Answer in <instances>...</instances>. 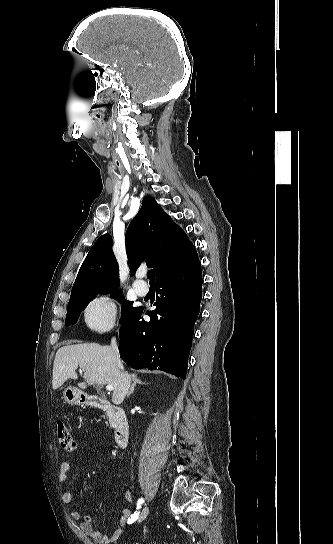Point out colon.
<instances>
[{
    "label": "colon",
    "mask_w": 333,
    "mask_h": 544,
    "mask_svg": "<svg viewBox=\"0 0 333 544\" xmlns=\"http://www.w3.org/2000/svg\"><path fill=\"white\" fill-rule=\"evenodd\" d=\"M57 436L60 446L68 451L76 448V442L66 424L62 421L57 422Z\"/></svg>",
    "instance_id": "obj_1"
}]
</instances>
